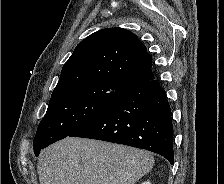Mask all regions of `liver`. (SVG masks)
<instances>
[{
	"mask_svg": "<svg viewBox=\"0 0 224 184\" xmlns=\"http://www.w3.org/2000/svg\"><path fill=\"white\" fill-rule=\"evenodd\" d=\"M153 165L145 150L67 137L40 153L37 172L40 184H135Z\"/></svg>",
	"mask_w": 224,
	"mask_h": 184,
	"instance_id": "obj_1",
	"label": "liver"
}]
</instances>
